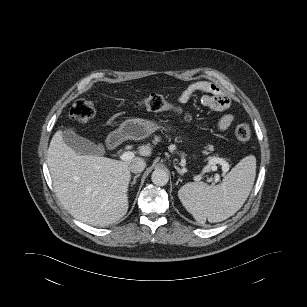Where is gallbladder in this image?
<instances>
[{
    "instance_id": "bac80fb5",
    "label": "gallbladder",
    "mask_w": 307,
    "mask_h": 307,
    "mask_svg": "<svg viewBox=\"0 0 307 307\" xmlns=\"http://www.w3.org/2000/svg\"><path fill=\"white\" fill-rule=\"evenodd\" d=\"M64 142L75 152L82 155H103L104 147L96 145L90 140L77 135L72 129H66L62 133Z\"/></svg>"
}]
</instances>
